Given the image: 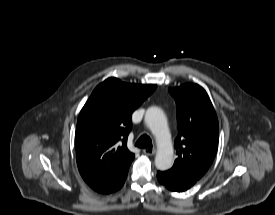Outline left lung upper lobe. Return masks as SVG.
Masks as SVG:
<instances>
[{"mask_svg":"<svg viewBox=\"0 0 275 215\" xmlns=\"http://www.w3.org/2000/svg\"><path fill=\"white\" fill-rule=\"evenodd\" d=\"M169 92L177 104L178 127L174 142L178 158L169 171L196 182L207 172L217 152L216 112L206 91L197 84L186 83Z\"/></svg>","mask_w":275,"mask_h":215,"instance_id":"left-lung-upper-lobe-1","label":"left lung upper lobe"}]
</instances>
